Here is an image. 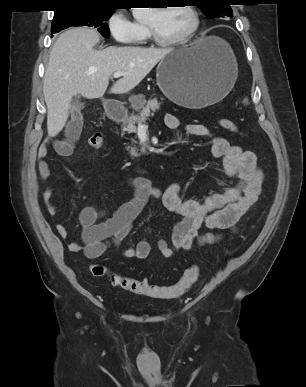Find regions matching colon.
Masks as SVG:
<instances>
[{"label":"colon","instance_id":"obj_1","mask_svg":"<svg viewBox=\"0 0 306 387\" xmlns=\"http://www.w3.org/2000/svg\"><path fill=\"white\" fill-rule=\"evenodd\" d=\"M218 124L224 130L232 133L238 132L236 123L230 119L221 118L218 120ZM88 144L94 149H101L104 145L102 135L98 132L91 134L88 138ZM90 272L92 275L98 277L108 275L111 284L123 290L155 299H171L182 296L191 288L200 276V267L198 265L187 267L179 281L169 286L156 285L145 279H135L115 273H109L105 266L98 263H94L90 266Z\"/></svg>","mask_w":306,"mask_h":387}]
</instances>
